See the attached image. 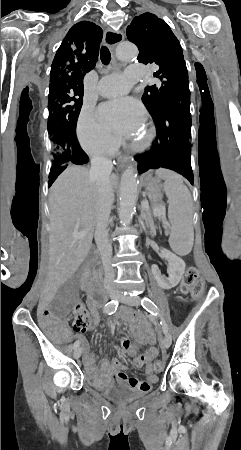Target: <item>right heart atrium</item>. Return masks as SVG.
Here are the masks:
<instances>
[{
    "label": "right heart atrium",
    "mask_w": 241,
    "mask_h": 450,
    "mask_svg": "<svg viewBox=\"0 0 241 450\" xmlns=\"http://www.w3.org/2000/svg\"><path fill=\"white\" fill-rule=\"evenodd\" d=\"M77 135L83 144L81 147L87 155L105 158L113 154V151L109 150L115 146V139L96 121L90 107H83L80 111L77 120Z\"/></svg>",
    "instance_id": "right-heart-atrium-1"
}]
</instances>
